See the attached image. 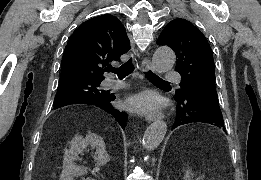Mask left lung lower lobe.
Returning <instances> with one entry per match:
<instances>
[{
	"instance_id": "0a47b994",
	"label": "left lung lower lobe",
	"mask_w": 261,
	"mask_h": 180,
	"mask_svg": "<svg viewBox=\"0 0 261 180\" xmlns=\"http://www.w3.org/2000/svg\"><path fill=\"white\" fill-rule=\"evenodd\" d=\"M175 101L177 115L172 129L187 123L203 122L225 130L218 98L206 96L197 88L185 85L181 94L175 96Z\"/></svg>"
}]
</instances>
